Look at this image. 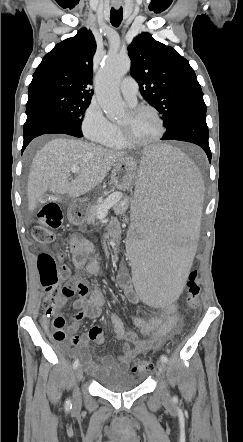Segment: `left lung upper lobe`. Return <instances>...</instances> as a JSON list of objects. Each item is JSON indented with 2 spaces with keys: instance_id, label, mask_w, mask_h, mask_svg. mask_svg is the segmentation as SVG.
Returning <instances> with one entry per match:
<instances>
[{
  "instance_id": "5c2ea615",
  "label": "left lung upper lobe",
  "mask_w": 243,
  "mask_h": 442,
  "mask_svg": "<svg viewBox=\"0 0 243 442\" xmlns=\"http://www.w3.org/2000/svg\"><path fill=\"white\" fill-rule=\"evenodd\" d=\"M128 55L131 75L143 97L162 115L167 130L187 110L206 106L194 70L172 47L141 33L128 46Z\"/></svg>"
}]
</instances>
